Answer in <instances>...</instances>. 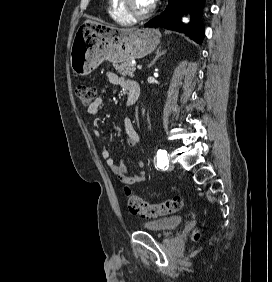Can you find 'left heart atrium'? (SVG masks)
I'll list each match as a JSON object with an SVG mask.
<instances>
[{"mask_svg":"<svg viewBox=\"0 0 272 282\" xmlns=\"http://www.w3.org/2000/svg\"><path fill=\"white\" fill-rule=\"evenodd\" d=\"M153 3L156 1V0H151Z\"/></svg>","mask_w":272,"mask_h":282,"instance_id":"obj_1","label":"left heart atrium"}]
</instances>
